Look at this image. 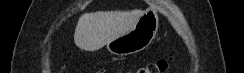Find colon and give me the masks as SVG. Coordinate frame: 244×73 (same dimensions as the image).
Here are the masks:
<instances>
[{
	"mask_svg": "<svg viewBox=\"0 0 244 73\" xmlns=\"http://www.w3.org/2000/svg\"><path fill=\"white\" fill-rule=\"evenodd\" d=\"M168 67V61L166 59H160L152 63H148L145 66L139 67L135 70L136 73H161Z\"/></svg>",
	"mask_w": 244,
	"mask_h": 73,
	"instance_id": "1",
	"label": "colon"
}]
</instances>
